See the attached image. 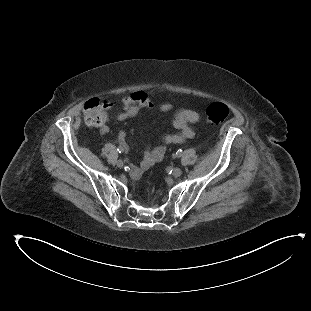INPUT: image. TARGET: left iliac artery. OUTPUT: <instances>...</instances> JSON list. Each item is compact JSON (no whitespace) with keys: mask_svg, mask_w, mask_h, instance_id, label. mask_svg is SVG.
<instances>
[{"mask_svg":"<svg viewBox=\"0 0 311 311\" xmlns=\"http://www.w3.org/2000/svg\"><path fill=\"white\" fill-rule=\"evenodd\" d=\"M176 155H177V157H181V156H182V150L179 149V150L176 152Z\"/></svg>","mask_w":311,"mask_h":311,"instance_id":"obj_1","label":"left iliac artery"}]
</instances>
